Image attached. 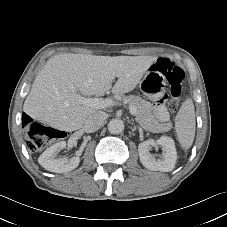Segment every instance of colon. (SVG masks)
Wrapping results in <instances>:
<instances>
[{
    "instance_id": "5ec220e1",
    "label": "colon",
    "mask_w": 227,
    "mask_h": 227,
    "mask_svg": "<svg viewBox=\"0 0 227 227\" xmlns=\"http://www.w3.org/2000/svg\"><path fill=\"white\" fill-rule=\"evenodd\" d=\"M153 69L163 74L170 84V95L168 106L172 112L178 108V101L181 94V86L185 77L182 68L174 65L168 58H159L153 65ZM25 129L28 134V146L37 151L45 146L46 138L56 137L57 132L54 129L44 127L32 119L25 122Z\"/></svg>"
}]
</instances>
